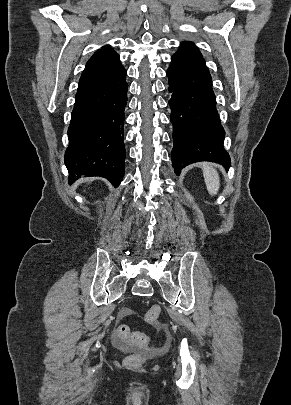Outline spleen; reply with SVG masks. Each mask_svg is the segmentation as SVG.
Returning <instances> with one entry per match:
<instances>
[{
  "label": "spleen",
  "mask_w": 291,
  "mask_h": 405,
  "mask_svg": "<svg viewBox=\"0 0 291 405\" xmlns=\"http://www.w3.org/2000/svg\"><path fill=\"white\" fill-rule=\"evenodd\" d=\"M203 175L209 194L212 196L216 195L220 187V179L217 171L212 167L211 164H204Z\"/></svg>",
  "instance_id": "spleen-1"
}]
</instances>
